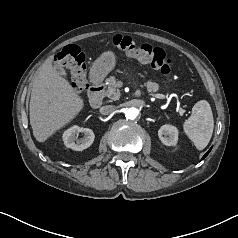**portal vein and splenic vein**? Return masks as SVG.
Wrapping results in <instances>:
<instances>
[{
  "label": "portal vein and splenic vein",
  "mask_w": 238,
  "mask_h": 238,
  "mask_svg": "<svg viewBox=\"0 0 238 238\" xmlns=\"http://www.w3.org/2000/svg\"><path fill=\"white\" fill-rule=\"evenodd\" d=\"M152 97L158 98V99H164V95L162 94H151ZM178 112L180 113V115H183L184 110L183 109H178Z\"/></svg>",
  "instance_id": "obj_1"
}]
</instances>
